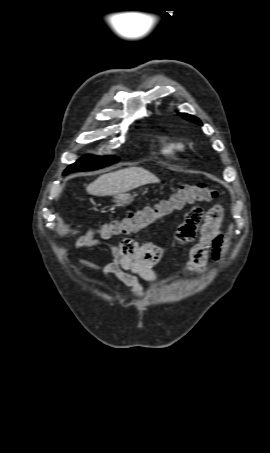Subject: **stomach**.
Instances as JSON below:
<instances>
[{"label":"stomach","instance_id":"0dacf381","mask_svg":"<svg viewBox=\"0 0 270 453\" xmlns=\"http://www.w3.org/2000/svg\"><path fill=\"white\" fill-rule=\"evenodd\" d=\"M133 201V197L129 194H118L114 197V202L117 206L125 207Z\"/></svg>","mask_w":270,"mask_h":453}]
</instances>
